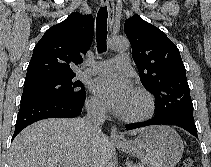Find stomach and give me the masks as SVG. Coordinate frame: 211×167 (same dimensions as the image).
Instances as JSON below:
<instances>
[{
    "instance_id": "stomach-1",
    "label": "stomach",
    "mask_w": 211,
    "mask_h": 167,
    "mask_svg": "<svg viewBox=\"0 0 211 167\" xmlns=\"http://www.w3.org/2000/svg\"><path fill=\"white\" fill-rule=\"evenodd\" d=\"M115 144L146 167H174L184 151L181 137L168 126L145 128L136 139Z\"/></svg>"
}]
</instances>
